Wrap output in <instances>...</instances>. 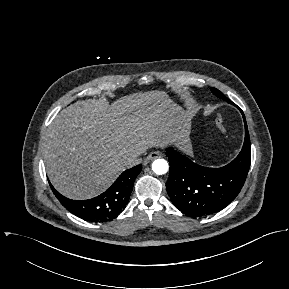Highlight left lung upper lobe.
<instances>
[{
	"label": "left lung upper lobe",
	"instance_id": "1",
	"mask_svg": "<svg viewBox=\"0 0 289 289\" xmlns=\"http://www.w3.org/2000/svg\"><path fill=\"white\" fill-rule=\"evenodd\" d=\"M211 91L213 92V94H215L217 97L222 98L223 100L227 101V102H231L229 99H227L219 90L215 89V88H211ZM232 104H234L233 102H231Z\"/></svg>",
	"mask_w": 289,
	"mask_h": 289
}]
</instances>
